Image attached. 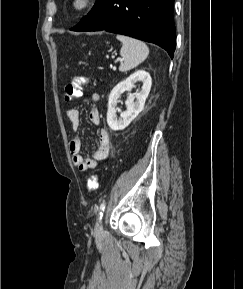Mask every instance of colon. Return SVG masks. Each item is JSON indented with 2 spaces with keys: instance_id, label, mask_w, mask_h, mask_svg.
<instances>
[{
  "instance_id": "1",
  "label": "colon",
  "mask_w": 243,
  "mask_h": 289,
  "mask_svg": "<svg viewBox=\"0 0 243 289\" xmlns=\"http://www.w3.org/2000/svg\"><path fill=\"white\" fill-rule=\"evenodd\" d=\"M88 82L84 77H76L70 83L65 86L64 89V99L66 102H70L82 94L83 86ZM98 188V178L96 175H92L87 181V190L93 193Z\"/></svg>"
}]
</instances>
